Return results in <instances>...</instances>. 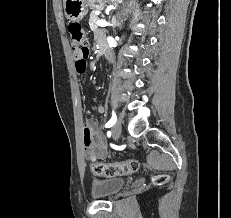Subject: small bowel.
Returning a JSON list of instances; mask_svg holds the SVG:
<instances>
[{
    "label": "small bowel",
    "mask_w": 231,
    "mask_h": 218,
    "mask_svg": "<svg viewBox=\"0 0 231 218\" xmlns=\"http://www.w3.org/2000/svg\"><path fill=\"white\" fill-rule=\"evenodd\" d=\"M97 41L99 47L106 48L105 44L102 41L101 35L97 34ZM75 60V67L78 73H84L87 69V61H89V56H83L80 58L81 53L78 50H74L73 52ZM105 110L104 106L99 105L96 107V111L98 113H103ZM83 136V144H84V151L86 157L95 162L98 159H104L108 155V147L103 138V136L96 132L95 126L91 122H87L82 131Z\"/></svg>",
    "instance_id": "c3829d8e"
}]
</instances>
